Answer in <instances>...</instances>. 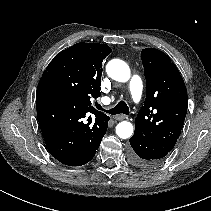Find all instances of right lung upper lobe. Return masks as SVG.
<instances>
[{"label": "right lung upper lobe", "instance_id": "obj_1", "mask_svg": "<svg viewBox=\"0 0 211 211\" xmlns=\"http://www.w3.org/2000/svg\"><path fill=\"white\" fill-rule=\"evenodd\" d=\"M111 51L106 44L77 43L61 51L50 62L39 85L49 86L46 83L48 76L61 75L62 84L70 88L76 98L96 113L105 115L91 106L90 98L101 94L102 61Z\"/></svg>", "mask_w": 211, "mask_h": 211}]
</instances>
